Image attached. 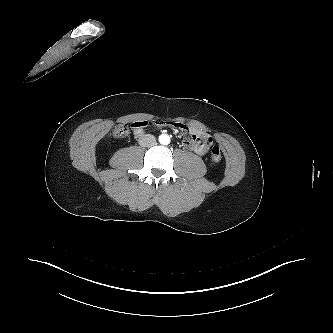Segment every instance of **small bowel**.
<instances>
[{"instance_id": "c3829d8e", "label": "small bowel", "mask_w": 333, "mask_h": 333, "mask_svg": "<svg viewBox=\"0 0 333 333\" xmlns=\"http://www.w3.org/2000/svg\"><path fill=\"white\" fill-rule=\"evenodd\" d=\"M146 125L147 122L144 120L133 122L132 128L134 135L137 137L142 136ZM155 125L158 127L175 128L182 131L184 134L182 140L183 146L194 151L196 154L205 155L209 152L212 138L208 134L177 121L157 120L155 121Z\"/></svg>"}]
</instances>
